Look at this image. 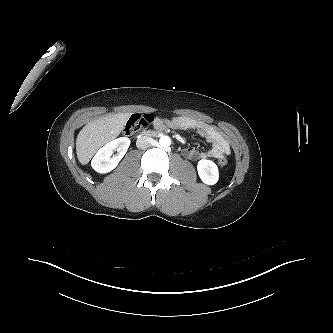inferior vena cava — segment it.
Listing matches in <instances>:
<instances>
[{
    "mask_svg": "<svg viewBox=\"0 0 333 333\" xmlns=\"http://www.w3.org/2000/svg\"><path fill=\"white\" fill-rule=\"evenodd\" d=\"M136 146L139 149H146L151 146L150 138L148 136H141L136 141Z\"/></svg>",
    "mask_w": 333,
    "mask_h": 333,
    "instance_id": "602c4592",
    "label": "inferior vena cava"
}]
</instances>
